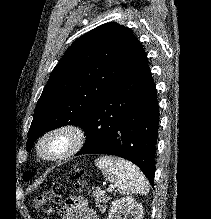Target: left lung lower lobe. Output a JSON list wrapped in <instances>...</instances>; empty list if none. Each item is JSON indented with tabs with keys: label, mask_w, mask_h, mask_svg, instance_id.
<instances>
[{
	"label": "left lung lower lobe",
	"mask_w": 211,
	"mask_h": 219,
	"mask_svg": "<svg viewBox=\"0 0 211 219\" xmlns=\"http://www.w3.org/2000/svg\"><path fill=\"white\" fill-rule=\"evenodd\" d=\"M159 126L156 86L144 49L95 105L76 154H108L136 164L154 186Z\"/></svg>",
	"instance_id": "1"
}]
</instances>
